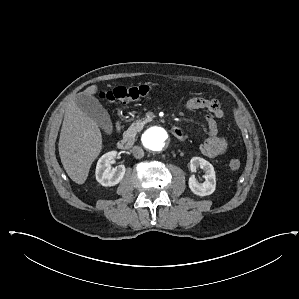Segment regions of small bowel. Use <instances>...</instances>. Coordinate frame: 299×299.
<instances>
[{
	"mask_svg": "<svg viewBox=\"0 0 299 299\" xmlns=\"http://www.w3.org/2000/svg\"><path fill=\"white\" fill-rule=\"evenodd\" d=\"M185 108L187 110L205 109L208 112L206 116L208 137L200 145L201 152L209 158L225 154L228 149L227 141L217 135V119L225 116L221 102L217 99L193 97L186 101Z\"/></svg>",
	"mask_w": 299,
	"mask_h": 299,
	"instance_id": "obj_1",
	"label": "small bowel"
}]
</instances>
